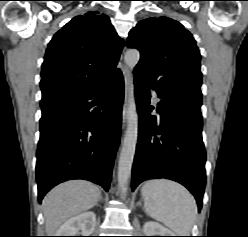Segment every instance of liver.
Masks as SVG:
<instances>
[{"label":"liver","instance_id":"6515ba94","mask_svg":"<svg viewBox=\"0 0 248 237\" xmlns=\"http://www.w3.org/2000/svg\"><path fill=\"white\" fill-rule=\"evenodd\" d=\"M101 192L88 181L73 180L53 188L43 199V214L48 236H54L60 225L96 205Z\"/></svg>","mask_w":248,"mask_h":237}]
</instances>
